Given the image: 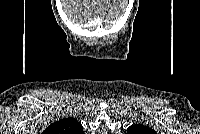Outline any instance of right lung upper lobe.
Masks as SVG:
<instances>
[{
    "mask_svg": "<svg viewBox=\"0 0 200 134\" xmlns=\"http://www.w3.org/2000/svg\"><path fill=\"white\" fill-rule=\"evenodd\" d=\"M45 134H82V125L74 118H64L52 123L44 132Z\"/></svg>",
    "mask_w": 200,
    "mask_h": 134,
    "instance_id": "cb5924a9",
    "label": "right lung upper lobe"
}]
</instances>
